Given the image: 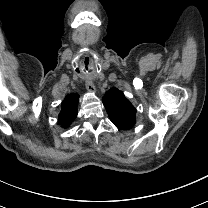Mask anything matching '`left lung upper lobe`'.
I'll use <instances>...</instances> for the list:
<instances>
[{
	"label": "left lung upper lobe",
	"mask_w": 208,
	"mask_h": 208,
	"mask_svg": "<svg viewBox=\"0 0 208 208\" xmlns=\"http://www.w3.org/2000/svg\"><path fill=\"white\" fill-rule=\"evenodd\" d=\"M111 121L120 129L128 130L134 126L136 109L117 88H111L102 98Z\"/></svg>",
	"instance_id": "obj_1"
}]
</instances>
